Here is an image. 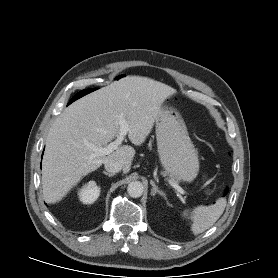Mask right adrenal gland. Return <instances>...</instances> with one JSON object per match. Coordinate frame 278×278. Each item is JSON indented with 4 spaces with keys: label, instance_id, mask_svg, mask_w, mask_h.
I'll list each match as a JSON object with an SVG mask.
<instances>
[{
    "label": "right adrenal gland",
    "instance_id": "right-adrenal-gland-1",
    "mask_svg": "<svg viewBox=\"0 0 278 278\" xmlns=\"http://www.w3.org/2000/svg\"><path fill=\"white\" fill-rule=\"evenodd\" d=\"M103 174H105L108 177H113L115 175L114 173H108L106 171H103Z\"/></svg>",
    "mask_w": 278,
    "mask_h": 278
}]
</instances>
